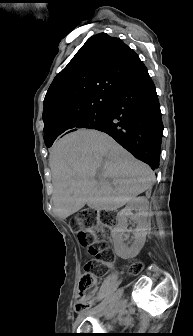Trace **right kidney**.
<instances>
[{
    "mask_svg": "<svg viewBox=\"0 0 193 336\" xmlns=\"http://www.w3.org/2000/svg\"><path fill=\"white\" fill-rule=\"evenodd\" d=\"M149 210V202L146 197H137L129 201L124 209H122L117 215L116 232V248L119 254L125 258H131L138 255L142 247L144 246L147 235V217ZM133 211L136 213L133 214ZM134 216V220L137 224L133 231V242L129 246L124 241L127 240L125 232L127 230V218Z\"/></svg>",
    "mask_w": 193,
    "mask_h": 336,
    "instance_id": "1",
    "label": "right kidney"
}]
</instances>
